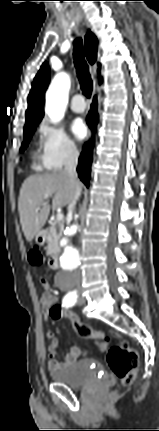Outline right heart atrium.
I'll return each mask as SVG.
<instances>
[{"instance_id":"right-heart-atrium-1","label":"right heart atrium","mask_w":159,"mask_h":431,"mask_svg":"<svg viewBox=\"0 0 159 431\" xmlns=\"http://www.w3.org/2000/svg\"><path fill=\"white\" fill-rule=\"evenodd\" d=\"M38 133L40 161L47 170L58 171L78 157L75 143L63 129L43 121L38 126Z\"/></svg>"}]
</instances>
